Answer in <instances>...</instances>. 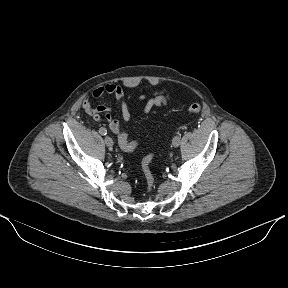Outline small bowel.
Returning <instances> with one entry per match:
<instances>
[{
	"mask_svg": "<svg viewBox=\"0 0 288 288\" xmlns=\"http://www.w3.org/2000/svg\"><path fill=\"white\" fill-rule=\"evenodd\" d=\"M112 95L115 98L117 107L120 111L121 117L124 121L128 122L131 120V112L128 107L127 95L121 85L108 83L97 87L93 90L91 97L94 99H99L103 95ZM138 100H146L145 106L143 108L144 114H149L151 110L155 107H166L170 104L171 97L170 92L167 90L155 93L152 97H147L146 94H140L137 96ZM84 110L91 115L93 118L98 119L99 114H104L110 130L118 136V138L124 134L120 122L116 115L113 114L111 107L106 105H100L97 108H92L90 104V96L85 97L82 102Z\"/></svg>",
	"mask_w": 288,
	"mask_h": 288,
	"instance_id": "c3829d8e",
	"label": "small bowel"
}]
</instances>
